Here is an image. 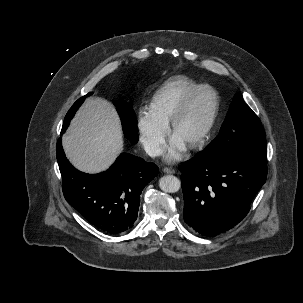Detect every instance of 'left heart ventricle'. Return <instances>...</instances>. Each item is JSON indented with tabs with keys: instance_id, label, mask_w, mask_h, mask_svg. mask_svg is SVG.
<instances>
[{
	"instance_id": "b2bd125f",
	"label": "left heart ventricle",
	"mask_w": 303,
	"mask_h": 303,
	"mask_svg": "<svg viewBox=\"0 0 303 303\" xmlns=\"http://www.w3.org/2000/svg\"><path fill=\"white\" fill-rule=\"evenodd\" d=\"M214 106V94L209 90L201 91L178 122L173 135L189 145L206 126Z\"/></svg>"
}]
</instances>
